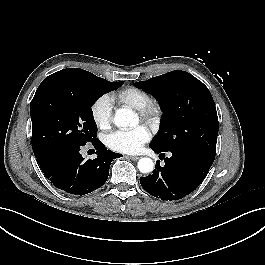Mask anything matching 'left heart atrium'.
<instances>
[{"mask_svg": "<svg viewBox=\"0 0 265 265\" xmlns=\"http://www.w3.org/2000/svg\"><path fill=\"white\" fill-rule=\"evenodd\" d=\"M150 139L149 130L139 125L129 130H116L106 137L107 146L118 152L132 154L137 153Z\"/></svg>", "mask_w": 265, "mask_h": 265, "instance_id": "left-heart-atrium-1", "label": "left heart atrium"}]
</instances>
